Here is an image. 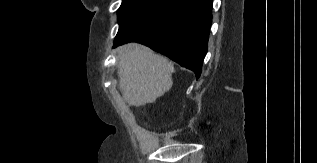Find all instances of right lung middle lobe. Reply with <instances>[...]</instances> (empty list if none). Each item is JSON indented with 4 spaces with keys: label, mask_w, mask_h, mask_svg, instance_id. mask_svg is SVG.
Listing matches in <instances>:
<instances>
[{
    "label": "right lung middle lobe",
    "mask_w": 317,
    "mask_h": 163,
    "mask_svg": "<svg viewBox=\"0 0 317 163\" xmlns=\"http://www.w3.org/2000/svg\"><path fill=\"white\" fill-rule=\"evenodd\" d=\"M176 0H123L118 9L119 30L115 40L139 30L162 15Z\"/></svg>",
    "instance_id": "obj_1"
}]
</instances>
